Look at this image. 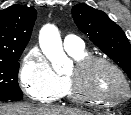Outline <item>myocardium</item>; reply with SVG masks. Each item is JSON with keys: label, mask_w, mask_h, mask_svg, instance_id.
Masks as SVG:
<instances>
[{"label": "myocardium", "mask_w": 131, "mask_h": 115, "mask_svg": "<svg viewBox=\"0 0 131 115\" xmlns=\"http://www.w3.org/2000/svg\"><path fill=\"white\" fill-rule=\"evenodd\" d=\"M97 64L106 65L113 69L119 75L125 87V95L123 97L109 99L87 90L86 75L88 71ZM66 78L68 82L69 92L72 98L76 101L113 106L125 102L131 93L129 81L121 68L111 60L100 56H88L82 60L77 61L73 67V70Z\"/></svg>", "instance_id": "1"}]
</instances>
